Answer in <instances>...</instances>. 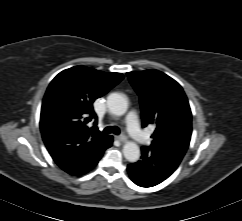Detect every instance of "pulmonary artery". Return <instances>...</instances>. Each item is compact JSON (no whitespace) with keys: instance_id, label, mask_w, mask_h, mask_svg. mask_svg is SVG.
Returning a JSON list of instances; mask_svg holds the SVG:
<instances>
[{"instance_id":"1","label":"pulmonary artery","mask_w":242,"mask_h":221,"mask_svg":"<svg viewBox=\"0 0 242 221\" xmlns=\"http://www.w3.org/2000/svg\"><path fill=\"white\" fill-rule=\"evenodd\" d=\"M125 123L129 134L137 143H144L146 141L145 134L139 127L135 112L131 111L127 114Z\"/></svg>"}]
</instances>
